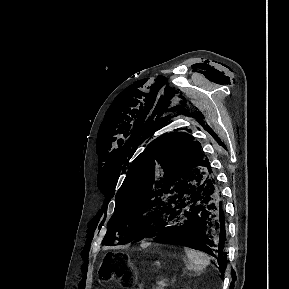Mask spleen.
I'll return each mask as SVG.
<instances>
[{"label": "spleen", "mask_w": 289, "mask_h": 289, "mask_svg": "<svg viewBox=\"0 0 289 289\" xmlns=\"http://www.w3.org/2000/svg\"><path fill=\"white\" fill-rule=\"evenodd\" d=\"M185 252L188 258L187 268L200 273L210 264L209 257L203 252L185 247Z\"/></svg>", "instance_id": "1"}]
</instances>
